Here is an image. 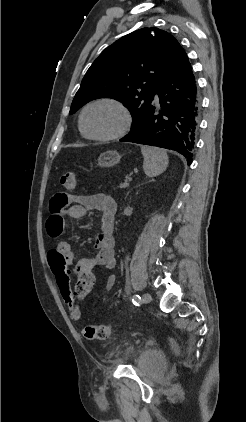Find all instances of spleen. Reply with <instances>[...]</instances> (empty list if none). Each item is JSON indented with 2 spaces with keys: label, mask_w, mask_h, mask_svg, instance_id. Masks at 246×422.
Instances as JSON below:
<instances>
[{
  "label": "spleen",
  "mask_w": 246,
  "mask_h": 422,
  "mask_svg": "<svg viewBox=\"0 0 246 422\" xmlns=\"http://www.w3.org/2000/svg\"><path fill=\"white\" fill-rule=\"evenodd\" d=\"M141 152L144 157L143 169L148 177L158 176L167 169L169 158L163 149L142 146Z\"/></svg>",
  "instance_id": "obj_1"
}]
</instances>
